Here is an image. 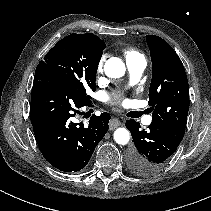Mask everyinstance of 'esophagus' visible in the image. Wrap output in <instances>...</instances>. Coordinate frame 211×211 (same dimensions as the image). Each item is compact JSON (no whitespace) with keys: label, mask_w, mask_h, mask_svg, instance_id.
<instances>
[{"label":"esophagus","mask_w":211,"mask_h":211,"mask_svg":"<svg viewBox=\"0 0 211 211\" xmlns=\"http://www.w3.org/2000/svg\"><path fill=\"white\" fill-rule=\"evenodd\" d=\"M122 124L121 120L118 118H112L109 121V129L114 130L115 128L119 127Z\"/></svg>","instance_id":"34e87169"}]
</instances>
